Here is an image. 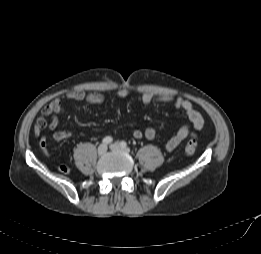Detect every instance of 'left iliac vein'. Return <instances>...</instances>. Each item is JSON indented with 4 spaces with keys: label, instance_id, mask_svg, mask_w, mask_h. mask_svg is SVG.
<instances>
[{
    "label": "left iliac vein",
    "instance_id": "obj_1",
    "mask_svg": "<svg viewBox=\"0 0 261 254\" xmlns=\"http://www.w3.org/2000/svg\"><path fill=\"white\" fill-rule=\"evenodd\" d=\"M109 148H110L111 150H120V149H122V150H124L125 152H129V149H128V148H123V147H121V145H120L119 143H113V144H111V145L109 146Z\"/></svg>",
    "mask_w": 261,
    "mask_h": 254
}]
</instances>
